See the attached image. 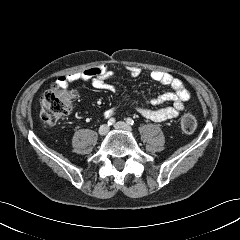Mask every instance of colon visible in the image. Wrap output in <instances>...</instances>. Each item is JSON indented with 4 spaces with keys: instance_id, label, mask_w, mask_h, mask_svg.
I'll return each instance as SVG.
<instances>
[{
    "instance_id": "colon-1",
    "label": "colon",
    "mask_w": 240,
    "mask_h": 240,
    "mask_svg": "<svg viewBox=\"0 0 240 240\" xmlns=\"http://www.w3.org/2000/svg\"><path fill=\"white\" fill-rule=\"evenodd\" d=\"M76 94L62 87H53L45 92L41 100L40 119L44 125L53 126L69 115L75 102ZM180 127L185 133H192L197 127L196 118L192 114H184L180 119Z\"/></svg>"
}]
</instances>
